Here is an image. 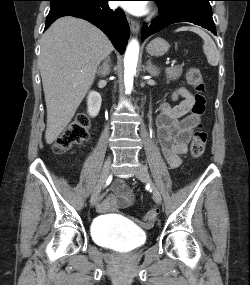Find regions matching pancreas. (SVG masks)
<instances>
[{"instance_id":"cf45deb5","label":"pancreas","mask_w":250,"mask_h":285,"mask_svg":"<svg viewBox=\"0 0 250 285\" xmlns=\"http://www.w3.org/2000/svg\"><path fill=\"white\" fill-rule=\"evenodd\" d=\"M168 82L177 80L182 74V66H172L165 70Z\"/></svg>"}]
</instances>
